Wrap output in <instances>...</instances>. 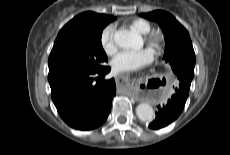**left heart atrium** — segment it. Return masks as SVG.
<instances>
[{
	"label": "left heart atrium",
	"mask_w": 230,
	"mask_h": 155,
	"mask_svg": "<svg viewBox=\"0 0 230 155\" xmlns=\"http://www.w3.org/2000/svg\"><path fill=\"white\" fill-rule=\"evenodd\" d=\"M153 52L149 48L138 51H123L111 61L112 69L117 73L139 70L153 61Z\"/></svg>",
	"instance_id": "left-heart-atrium-1"
}]
</instances>
